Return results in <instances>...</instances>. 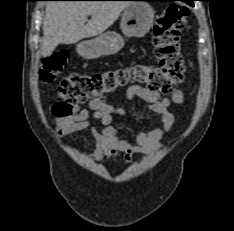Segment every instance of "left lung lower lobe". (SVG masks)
<instances>
[{"mask_svg":"<svg viewBox=\"0 0 234 231\" xmlns=\"http://www.w3.org/2000/svg\"><path fill=\"white\" fill-rule=\"evenodd\" d=\"M147 1H158V0H147ZM180 1H183L190 6H193V1H196V0H180Z\"/></svg>","mask_w":234,"mask_h":231,"instance_id":"left-lung-lower-lobe-1","label":"left lung lower lobe"}]
</instances>
